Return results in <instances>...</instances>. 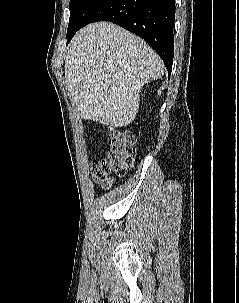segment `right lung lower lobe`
Wrapping results in <instances>:
<instances>
[{"instance_id": "right-lung-lower-lobe-1", "label": "right lung lower lobe", "mask_w": 239, "mask_h": 303, "mask_svg": "<svg viewBox=\"0 0 239 303\" xmlns=\"http://www.w3.org/2000/svg\"><path fill=\"white\" fill-rule=\"evenodd\" d=\"M174 20L175 0H105L92 12L85 25L111 21L139 35L162 58L170 77L174 55Z\"/></svg>"}]
</instances>
